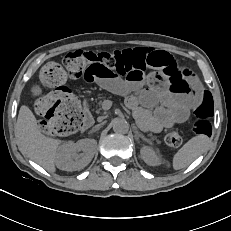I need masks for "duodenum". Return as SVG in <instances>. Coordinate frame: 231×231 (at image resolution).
Returning a JSON list of instances; mask_svg holds the SVG:
<instances>
[{"mask_svg": "<svg viewBox=\"0 0 231 231\" xmlns=\"http://www.w3.org/2000/svg\"><path fill=\"white\" fill-rule=\"evenodd\" d=\"M82 115H83V122H82L83 128L84 129L89 128L93 123V118L87 106L83 108Z\"/></svg>", "mask_w": 231, "mask_h": 231, "instance_id": "1", "label": "duodenum"}]
</instances>
